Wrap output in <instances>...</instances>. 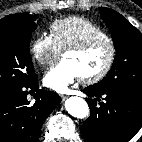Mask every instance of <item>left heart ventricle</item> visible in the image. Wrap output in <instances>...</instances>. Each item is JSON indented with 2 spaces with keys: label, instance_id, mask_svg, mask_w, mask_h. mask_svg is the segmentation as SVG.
Here are the masks:
<instances>
[{
  "label": "left heart ventricle",
  "instance_id": "obj_1",
  "mask_svg": "<svg viewBox=\"0 0 142 142\" xmlns=\"http://www.w3.org/2000/svg\"><path fill=\"white\" fill-rule=\"evenodd\" d=\"M108 55L107 44L100 43L82 53L68 52L64 55V59L70 60L78 69L81 77H84L101 70L108 59Z\"/></svg>",
  "mask_w": 142,
  "mask_h": 142
}]
</instances>
